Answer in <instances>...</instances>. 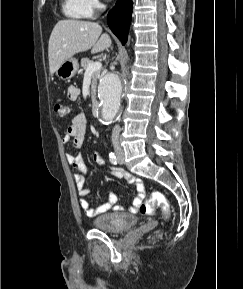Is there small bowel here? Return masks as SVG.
Segmentation results:
<instances>
[{
    "label": "small bowel",
    "instance_id": "1",
    "mask_svg": "<svg viewBox=\"0 0 243 289\" xmlns=\"http://www.w3.org/2000/svg\"><path fill=\"white\" fill-rule=\"evenodd\" d=\"M80 91L78 87L71 85L67 89V96L70 100L76 101L79 97ZM87 134V118L84 113H78L71 119L70 125L67 128L66 134L63 137V143L65 145L71 144L75 149H80L85 141ZM66 160L69 164L73 165L77 169V173L74 175L76 187L80 196V206L84 213L89 217H94L99 214L108 212L109 210L123 211L124 208L117 204L118 197L114 192L108 195V199L97 208H92L87 200V196L90 195L91 191L86 187L88 169L83 163L82 157L79 154H73L68 152L66 154ZM95 163L102 165L104 163L100 153L95 152L93 155ZM111 175L123 179L127 183L132 184L136 188V195L133 203L127 208L130 212H137L140 204L145 198L144 185L142 181L133 175L127 173L120 168H112Z\"/></svg>",
    "mask_w": 243,
    "mask_h": 289
}]
</instances>
